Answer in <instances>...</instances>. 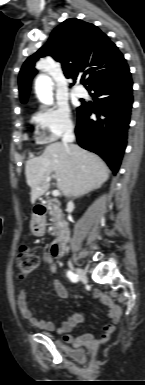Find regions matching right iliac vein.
Wrapping results in <instances>:
<instances>
[{
  "instance_id": "1",
  "label": "right iliac vein",
  "mask_w": 145,
  "mask_h": 385,
  "mask_svg": "<svg viewBox=\"0 0 145 385\" xmlns=\"http://www.w3.org/2000/svg\"><path fill=\"white\" fill-rule=\"evenodd\" d=\"M75 271H76V274H77L78 278L82 282H87L88 278H87L86 272L83 269L76 268Z\"/></svg>"
}]
</instances>
